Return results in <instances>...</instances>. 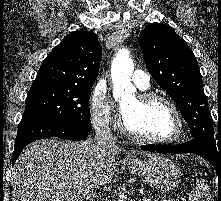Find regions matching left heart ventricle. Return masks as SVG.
<instances>
[{"label":"left heart ventricle","instance_id":"1","mask_svg":"<svg viewBox=\"0 0 221 201\" xmlns=\"http://www.w3.org/2000/svg\"><path fill=\"white\" fill-rule=\"evenodd\" d=\"M122 115L131 130L144 136L170 138L178 129L173 112L161 101L143 104L133 97L122 103Z\"/></svg>","mask_w":221,"mask_h":201}]
</instances>
